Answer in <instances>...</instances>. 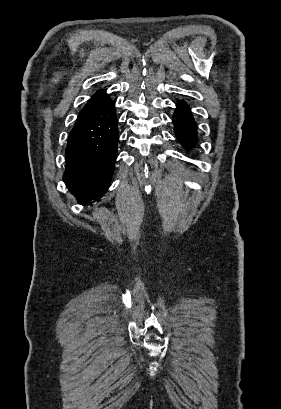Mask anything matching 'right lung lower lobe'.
I'll use <instances>...</instances> for the list:
<instances>
[{"label": "right lung lower lobe", "instance_id": "obj_1", "mask_svg": "<svg viewBox=\"0 0 281 409\" xmlns=\"http://www.w3.org/2000/svg\"><path fill=\"white\" fill-rule=\"evenodd\" d=\"M117 123L114 101L98 90L70 132L64 181L83 205L100 198L110 185L117 157Z\"/></svg>", "mask_w": 281, "mask_h": 409}]
</instances>
